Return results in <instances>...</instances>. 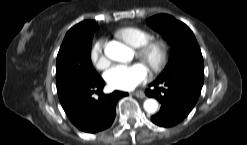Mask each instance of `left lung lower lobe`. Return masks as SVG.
I'll return each instance as SVG.
<instances>
[{"instance_id": "1", "label": "left lung lower lobe", "mask_w": 247, "mask_h": 145, "mask_svg": "<svg viewBox=\"0 0 247 145\" xmlns=\"http://www.w3.org/2000/svg\"><path fill=\"white\" fill-rule=\"evenodd\" d=\"M204 82V73L177 71L158 77L145 91L148 97H155L161 103L160 111L152 116L156 125L171 127L183 120L195 106ZM163 84L165 88L159 87Z\"/></svg>"}]
</instances>
